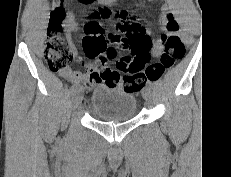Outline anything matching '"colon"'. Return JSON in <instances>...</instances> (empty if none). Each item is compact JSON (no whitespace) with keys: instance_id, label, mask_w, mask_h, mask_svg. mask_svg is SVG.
Masks as SVG:
<instances>
[{"instance_id":"obj_1","label":"colon","mask_w":231,"mask_h":177,"mask_svg":"<svg viewBox=\"0 0 231 177\" xmlns=\"http://www.w3.org/2000/svg\"><path fill=\"white\" fill-rule=\"evenodd\" d=\"M91 4L95 0H79ZM111 10L108 6L94 12V20L84 28L83 49L88 59L96 61L102 74L114 85H120L129 92H139L147 80L158 81L164 72L171 69L176 61L184 55V45L174 32L178 23L172 14H167L166 29L162 35L163 49L158 62L148 64L151 46L150 36L139 24L127 19L124 10L116 12L115 31L106 33L99 18H108ZM62 15L54 11L50 21L44 57L52 71L67 69L74 59V52L60 35ZM124 52L130 54L122 55ZM114 62L116 70L108 64ZM123 73V75L120 74Z\"/></svg>"}]
</instances>
